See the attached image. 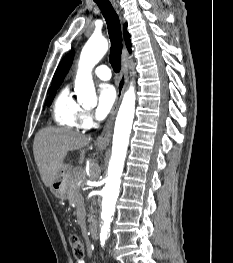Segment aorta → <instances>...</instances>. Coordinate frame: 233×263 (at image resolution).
Segmentation results:
<instances>
[{
    "label": "aorta",
    "instance_id": "1",
    "mask_svg": "<svg viewBox=\"0 0 233 263\" xmlns=\"http://www.w3.org/2000/svg\"><path fill=\"white\" fill-rule=\"evenodd\" d=\"M108 50V42L103 37H90L82 49L75 80V94L82 104L96 99L91 71ZM135 90L130 86L124 94L115 122L112 155L108 167L106 184L102 190V226L100 242L103 246L108 238L112 216L119 195L121 176L129 144V136L135 112Z\"/></svg>",
    "mask_w": 233,
    "mask_h": 263
}]
</instances>
